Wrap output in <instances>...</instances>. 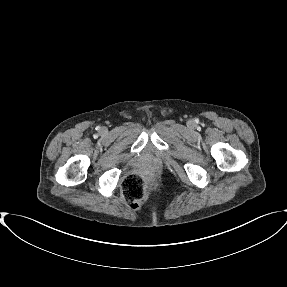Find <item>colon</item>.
Instances as JSON below:
<instances>
[{
    "instance_id": "obj_1",
    "label": "colon",
    "mask_w": 287,
    "mask_h": 287,
    "mask_svg": "<svg viewBox=\"0 0 287 287\" xmlns=\"http://www.w3.org/2000/svg\"><path fill=\"white\" fill-rule=\"evenodd\" d=\"M147 176L144 173H133L122 183V195L131 207H139L146 194Z\"/></svg>"
}]
</instances>
